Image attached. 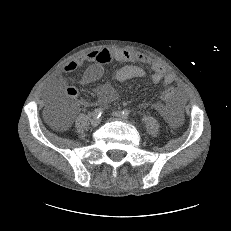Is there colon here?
<instances>
[{
  "label": "colon",
  "instance_id": "colon-1",
  "mask_svg": "<svg viewBox=\"0 0 231 231\" xmlns=\"http://www.w3.org/2000/svg\"><path fill=\"white\" fill-rule=\"evenodd\" d=\"M179 95H180L179 89L176 86L169 85V86H166L163 89V92H162V95H161V100L162 101L173 102V101H176L179 98ZM58 114L61 115V116H65L66 119H67V116H66L65 112L60 111Z\"/></svg>",
  "mask_w": 231,
  "mask_h": 231
}]
</instances>
